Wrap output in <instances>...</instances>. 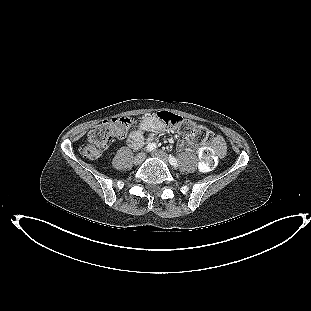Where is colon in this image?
I'll return each mask as SVG.
<instances>
[{
    "label": "colon",
    "instance_id": "5ec220e1",
    "mask_svg": "<svg viewBox=\"0 0 311 311\" xmlns=\"http://www.w3.org/2000/svg\"><path fill=\"white\" fill-rule=\"evenodd\" d=\"M158 118L165 124L175 127L183 134L188 135L196 143L212 144L211 148H204L200 153L203 167H213L218 157L223 155L224 145L222 140L213 135L206 127L168 111L159 112ZM133 122V118L128 116L103 120L89 131L86 142L80 147L81 155L87 159H97L102 150L110 143L126 135L133 126Z\"/></svg>",
    "mask_w": 311,
    "mask_h": 311
}]
</instances>
